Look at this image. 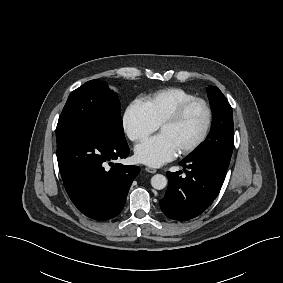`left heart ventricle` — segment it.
I'll list each match as a JSON object with an SVG mask.
<instances>
[{
  "label": "left heart ventricle",
  "instance_id": "1",
  "mask_svg": "<svg viewBox=\"0 0 283 283\" xmlns=\"http://www.w3.org/2000/svg\"><path fill=\"white\" fill-rule=\"evenodd\" d=\"M206 123V112L202 105L196 104L186 113L182 121L176 125L163 126L159 134L172 141L178 152L194 142L202 133Z\"/></svg>",
  "mask_w": 283,
  "mask_h": 283
}]
</instances>
